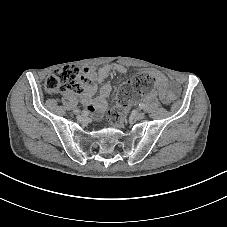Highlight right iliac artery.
Segmentation results:
<instances>
[{
  "label": "right iliac artery",
  "instance_id": "obj_1",
  "mask_svg": "<svg viewBox=\"0 0 227 227\" xmlns=\"http://www.w3.org/2000/svg\"><path fill=\"white\" fill-rule=\"evenodd\" d=\"M80 114H81V116L84 117V118H85V117H89V116H90V111L84 109V110L81 111Z\"/></svg>",
  "mask_w": 227,
  "mask_h": 227
}]
</instances>
